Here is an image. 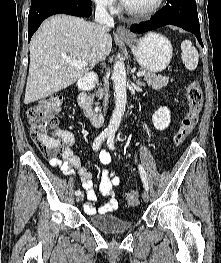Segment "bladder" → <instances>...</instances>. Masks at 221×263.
<instances>
[{"label": "bladder", "mask_w": 221, "mask_h": 263, "mask_svg": "<svg viewBox=\"0 0 221 263\" xmlns=\"http://www.w3.org/2000/svg\"><path fill=\"white\" fill-rule=\"evenodd\" d=\"M89 223L95 229L109 235L122 233L133 227V221L123 220L116 214L92 215Z\"/></svg>", "instance_id": "1"}]
</instances>
